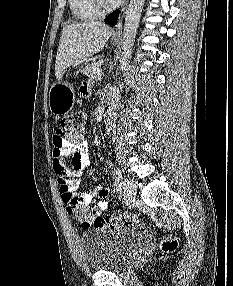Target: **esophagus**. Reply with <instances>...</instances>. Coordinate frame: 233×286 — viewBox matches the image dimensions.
<instances>
[{
  "label": "esophagus",
  "instance_id": "obj_1",
  "mask_svg": "<svg viewBox=\"0 0 233 286\" xmlns=\"http://www.w3.org/2000/svg\"><path fill=\"white\" fill-rule=\"evenodd\" d=\"M127 10V4L122 8L121 10V14L119 16V20L116 24V27H115V32H114V35L116 37H120L121 36V32H122V20H123V17H124V14Z\"/></svg>",
  "mask_w": 233,
  "mask_h": 286
}]
</instances>
